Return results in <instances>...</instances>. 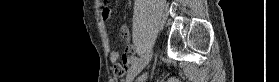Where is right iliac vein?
I'll return each instance as SVG.
<instances>
[{"instance_id":"1","label":"right iliac vein","mask_w":279,"mask_h":82,"mask_svg":"<svg viewBox=\"0 0 279 82\" xmlns=\"http://www.w3.org/2000/svg\"><path fill=\"white\" fill-rule=\"evenodd\" d=\"M152 57V51H149L140 61L131 67L128 72L127 80L131 82L149 63Z\"/></svg>"}]
</instances>
